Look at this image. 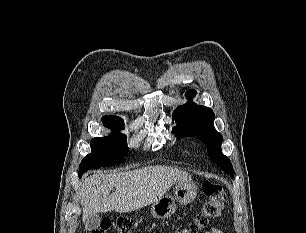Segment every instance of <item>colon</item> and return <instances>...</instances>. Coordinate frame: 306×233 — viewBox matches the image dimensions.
<instances>
[{
	"mask_svg": "<svg viewBox=\"0 0 306 233\" xmlns=\"http://www.w3.org/2000/svg\"><path fill=\"white\" fill-rule=\"evenodd\" d=\"M202 192L205 201L200 212L188 224L187 227L177 233H198L204 229L211 221L217 219L226 207V194L219 183L206 181L202 184ZM132 222L127 219L116 221L104 220L101 226L93 233H130Z\"/></svg>",
	"mask_w": 306,
	"mask_h": 233,
	"instance_id": "colon-1",
	"label": "colon"
}]
</instances>
